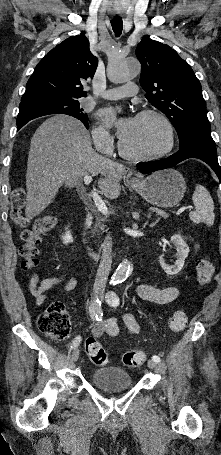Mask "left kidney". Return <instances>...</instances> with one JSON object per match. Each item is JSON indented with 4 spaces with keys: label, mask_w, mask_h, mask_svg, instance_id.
I'll return each mask as SVG.
<instances>
[{
    "label": "left kidney",
    "mask_w": 221,
    "mask_h": 455,
    "mask_svg": "<svg viewBox=\"0 0 221 455\" xmlns=\"http://www.w3.org/2000/svg\"><path fill=\"white\" fill-rule=\"evenodd\" d=\"M171 242L175 244L176 246V257L177 260L174 263V265H169L165 262L164 258L161 256L159 257V263L162 269L167 273L168 275H176L177 273L180 272V270L184 266L185 259L188 256L189 253V247L185 240L180 236L179 234H174L171 237Z\"/></svg>",
    "instance_id": "5707ae66"
}]
</instances>
